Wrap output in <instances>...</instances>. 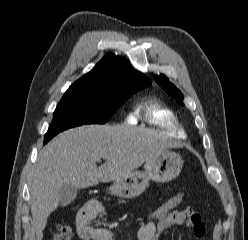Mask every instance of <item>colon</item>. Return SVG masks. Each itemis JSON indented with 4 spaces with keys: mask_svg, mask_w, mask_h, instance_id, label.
<instances>
[{
    "mask_svg": "<svg viewBox=\"0 0 248 240\" xmlns=\"http://www.w3.org/2000/svg\"><path fill=\"white\" fill-rule=\"evenodd\" d=\"M182 202V195H174L167 198L165 201L160 203L157 207L151 210L145 217L144 220L147 218H154L159 219L166 216L168 213L176 210V208ZM73 237V229L70 225L67 224H60L57 229L56 233L54 234L53 240H71Z\"/></svg>",
    "mask_w": 248,
    "mask_h": 240,
    "instance_id": "colon-1",
    "label": "colon"
}]
</instances>
